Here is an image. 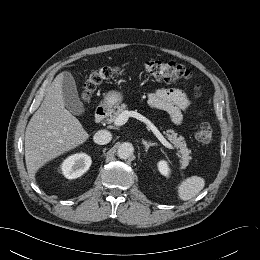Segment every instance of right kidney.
Returning a JSON list of instances; mask_svg holds the SVG:
<instances>
[{
  "mask_svg": "<svg viewBox=\"0 0 260 260\" xmlns=\"http://www.w3.org/2000/svg\"><path fill=\"white\" fill-rule=\"evenodd\" d=\"M91 163V157L87 154H74L63 161L61 171L67 179H75L82 176L90 168Z\"/></svg>",
  "mask_w": 260,
  "mask_h": 260,
  "instance_id": "right-kidney-1",
  "label": "right kidney"
}]
</instances>
